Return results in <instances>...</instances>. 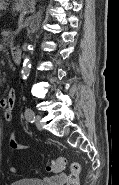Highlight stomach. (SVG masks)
<instances>
[{
  "label": "stomach",
  "mask_w": 119,
  "mask_h": 185,
  "mask_svg": "<svg viewBox=\"0 0 119 185\" xmlns=\"http://www.w3.org/2000/svg\"><path fill=\"white\" fill-rule=\"evenodd\" d=\"M26 6H27L26 1L21 0V2L18 4L17 9H18V10H24V9H26Z\"/></svg>",
  "instance_id": "1"
}]
</instances>
